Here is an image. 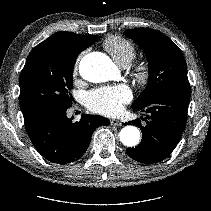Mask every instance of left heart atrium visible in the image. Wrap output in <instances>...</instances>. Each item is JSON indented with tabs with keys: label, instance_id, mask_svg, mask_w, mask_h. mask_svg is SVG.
Returning a JSON list of instances; mask_svg holds the SVG:
<instances>
[{
	"label": "left heart atrium",
	"instance_id": "left-heart-atrium-1",
	"mask_svg": "<svg viewBox=\"0 0 211 211\" xmlns=\"http://www.w3.org/2000/svg\"><path fill=\"white\" fill-rule=\"evenodd\" d=\"M130 99L131 92L123 85L102 87L88 93L86 105L93 112L103 115H114Z\"/></svg>",
	"mask_w": 211,
	"mask_h": 211
}]
</instances>
